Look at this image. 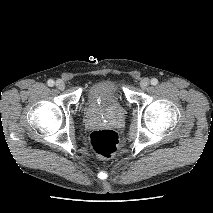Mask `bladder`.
Masks as SVG:
<instances>
[{
  "label": "bladder",
  "instance_id": "1",
  "mask_svg": "<svg viewBox=\"0 0 213 213\" xmlns=\"http://www.w3.org/2000/svg\"><path fill=\"white\" fill-rule=\"evenodd\" d=\"M120 84L113 79L101 80L91 85L86 93V101L90 106L105 105L119 98Z\"/></svg>",
  "mask_w": 213,
  "mask_h": 213
}]
</instances>
